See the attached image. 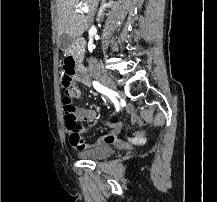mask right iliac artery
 Segmentation results:
<instances>
[{"label": "right iliac artery", "mask_w": 217, "mask_h": 202, "mask_svg": "<svg viewBox=\"0 0 217 202\" xmlns=\"http://www.w3.org/2000/svg\"><path fill=\"white\" fill-rule=\"evenodd\" d=\"M93 86L98 92H100V93H102V94H104L110 98V101L113 102L114 108L116 109L115 111L119 114L121 112L120 111L121 105H120V102L117 101V98L115 97L113 91L108 89L107 87L101 85L97 81H93Z\"/></svg>", "instance_id": "obj_1"}]
</instances>
